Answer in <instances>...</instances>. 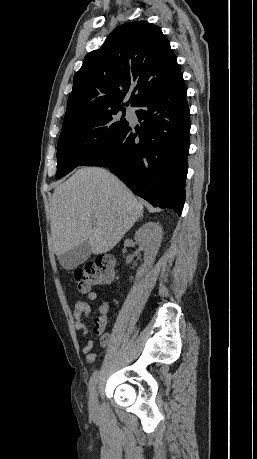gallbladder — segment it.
<instances>
[{"mask_svg": "<svg viewBox=\"0 0 257 459\" xmlns=\"http://www.w3.org/2000/svg\"><path fill=\"white\" fill-rule=\"evenodd\" d=\"M91 253V246L89 242L85 241L83 244L59 255L58 261L66 270H72L85 262L90 257Z\"/></svg>", "mask_w": 257, "mask_h": 459, "instance_id": "1", "label": "gallbladder"}]
</instances>
